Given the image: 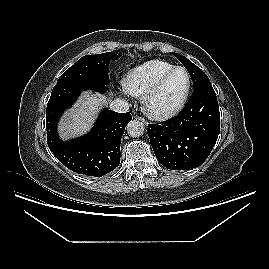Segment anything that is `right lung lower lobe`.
Returning a JSON list of instances; mask_svg holds the SVG:
<instances>
[{
  "mask_svg": "<svg viewBox=\"0 0 269 269\" xmlns=\"http://www.w3.org/2000/svg\"><path fill=\"white\" fill-rule=\"evenodd\" d=\"M85 89L103 93L108 88L99 83L76 80L55 85L47 104V143L54 156L68 169L101 177L119 165L121 137L132 116L129 112L117 113L104 109L90 133L76 140L62 142L57 134L58 120Z\"/></svg>",
  "mask_w": 269,
  "mask_h": 269,
  "instance_id": "98d812e1",
  "label": "right lung lower lobe"
}]
</instances>
